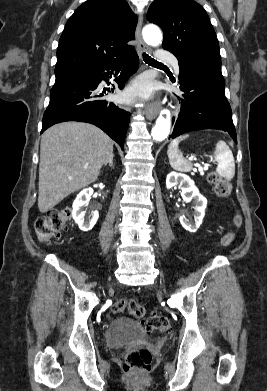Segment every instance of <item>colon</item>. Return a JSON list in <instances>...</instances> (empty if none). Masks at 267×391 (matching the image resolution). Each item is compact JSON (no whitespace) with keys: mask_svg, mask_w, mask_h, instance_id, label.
I'll return each mask as SVG.
<instances>
[{"mask_svg":"<svg viewBox=\"0 0 267 391\" xmlns=\"http://www.w3.org/2000/svg\"><path fill=\"white\" fill-rule=\"evenodd\" d=\"M209 182L214 186L215 192L221 197H228L231 194V184L220 177L217 173L211 172L208 175ZM71 210L67 207L53 208L44 216L37 218L35 232L39 241L50 243L59 238L61 232L67 231L70 227ZM237 226L241 225L242 218L237 214L234 218ZM233 240V234H227L222 239L224 246L229 245ZM127 310L133 317L140 320L148 333L159 331L168 333L171 329L167 317L146 313L145 309L134 299H119L114 303L113 311L120 313ZM152 360L151 352L146 347H136L129 350L125 356L124 370L130 374H143L149 370Z\"/></svg>","mask_w":267,"mask_h":391,"instance_id":"5ec220e1","label":"colon"}]
</instances>
